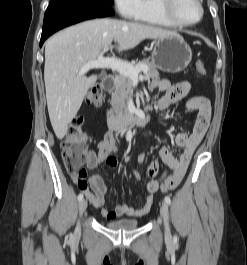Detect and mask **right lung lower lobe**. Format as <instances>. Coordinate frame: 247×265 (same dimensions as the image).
Masks as SVG:
<instances>
[{"mask_svg": "<svg viewBox=\"0 0 247 265\" xmlns=\"http://www.w3.org/2000/svg\"><path fill=\"white\" fill-rule=\"evenodd\" d=\"M113 14L110 5L101 2L70 0L52 3L45 12L40 46L50 35L64 27Z\"/></svg>", "mask_w": 247, "mask_h": 265, "instance_id": "1", "label": "right lung lower lobe"}]
</instances>
